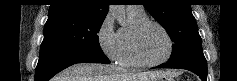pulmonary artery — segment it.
<instances>
[{
  "label": "pulmonary artery",
  "instance_id": "1",
  "mask_svg": "<svg viewBox=\"0 0 237 81\" xmlns=\"http://www.w3.org/2000/svg\"><path fill=\"white\" fill-rule=\"evenodd\" d=\"M128 11H134L138 13H144V9L142 6H128L127 7Z\"/></svg>",
  "mask_w": 237,
  "mask_h": 81
}]
</instances>
